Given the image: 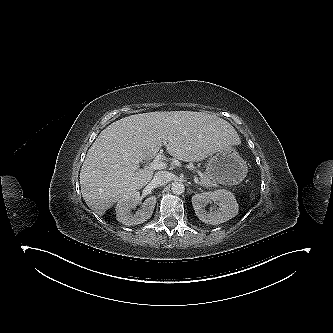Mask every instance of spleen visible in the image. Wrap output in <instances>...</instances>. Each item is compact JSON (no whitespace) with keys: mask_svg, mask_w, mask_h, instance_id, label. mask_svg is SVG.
I'll return each instance as SVG.
<instances>
[{"mask_svg":"<svg viewBox=\"0 0 333 333\" xmlns=\"http://www.w3.org/2000/svg\"><path fill=\"white\" fill-rule=\"evenodd\" d=\"M253 199H254V195L252 194V195H251V200H253Z\"/></svg>","mask_w":333,"mask_h":333,"instance_id":"1","label":"spleen"}]
</instances>
